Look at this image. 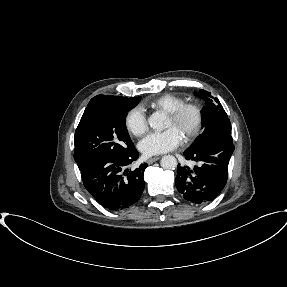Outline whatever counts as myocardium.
<instances>
[{"instance_id": "obj_1", "label": "myocardium", "mask_w": 287, "mask_h": 287, "mask_svg": "<svg viewBox=\"0 0 287 287\" xmlns=\"http://www.w3.org/2000/svg\"><path fill=\"white\" fill-rule=\"evenodd\" d=\"M191 113L194 121L184 139L190 142L198 137L204 124V110L201 105L193 102H185L176 109L167 113V116L173 121H179L185 114Z\"/></svg>"}]
</instances>
